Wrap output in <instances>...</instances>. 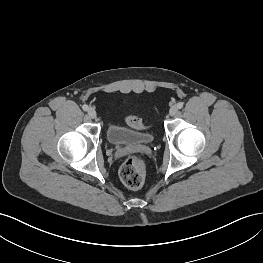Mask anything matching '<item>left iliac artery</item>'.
Instances as JSON below:
<instances>
[{
  "instance_id": "obj_1",
  "label": "left iliac artery",
  "mask_w": 263,
  "mask_h": 263,
  "mask_svg": "<svg viewBox=\"0 0 263 263\" xmlns=\"http://www.w3.org/2000/svg\"><path fill=\"white\" fill-rule=\"evenodd\" d=\"M183 105H184L183 102H179V103L177 104V108H178V109H181V108H183Z\"/></svg>"
}]
</instances>
